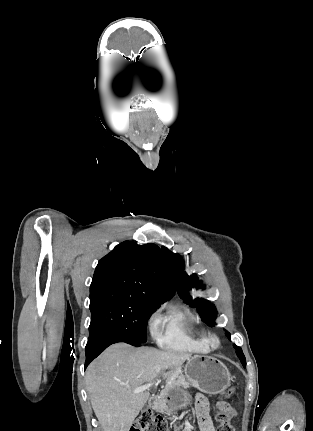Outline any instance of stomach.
I'll list each match as a JSON object with an SVG mask.
<instances>
[{"label": "stomach", "mask_w": 313, "mask_h": 431, "mask_svg": "<svg viewBox=\"0 0 313 431\" xmlns=\"http://www.w3.org/2000/svg\"><path fill=\"white\" fill-rule=\"evenodd\" d=\"M183 372L190 383L207 394L223 392L230 386L232 380L228 368L220 360L205 355H196L188 359ZM167 388L171 399L169 406L181 408L185 402L190 401V394L182 388L175 387L171 381Z\"/></svg>", "instance_id": "1"}]
</instances>
